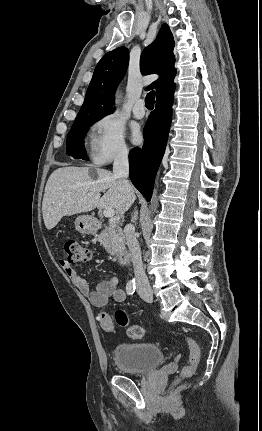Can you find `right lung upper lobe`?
I'll use <instances>...</instances> for the list:
<instances>
[{
    "label": "right lung upper lobe",
    "instance_id": "obj_1",
    "mask_svg": "<svg viewBox=\"0 0 262 431\" xmlns=\"http://www.w3.org/2000/svg\"><path fill=\"white\" fill-rule=\"evenodd\" d=\"M174 39L167 24H163L156 40L144 49L140 57L143 74L157 73L160 77L148 88L156 89L157 98L174 90L176 69L173 54ZM129 63V52L119 47L105 54L97 64L84 103L76 119L103 118L113 112L115 89L124 77Z\"/></svg>",
    "mask_w": 262,
    "mask_h": 431
}]
</instances>
